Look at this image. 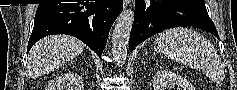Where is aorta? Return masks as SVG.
Listing matches in <instances>:
<instances>
[{
    "label": "aorta",
    "mask_w": 237,
    "mask_h": 90,
    "mask_svg": "<svg viewBox=\"0 0 237 90\" xmlns=\"http://www.w3.org/2000/svg\"><path fill=\"white\" fill-rule=\"evenodd\" d=\"M134 16L135 12L132 8H125L116 20L111 38V54L116 64H125V60H127Z\"/></svg>",
    "instance_id": "1"
}]
</instances>
